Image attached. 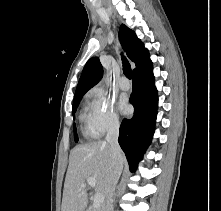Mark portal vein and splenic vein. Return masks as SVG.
Returning a JSON list of instances; mask_svg holds the SVG:
<instances>
[{
	"instance_id": "portal-vein-and-splenic-vein-1",
	"label": "portal vein and splenic vein",
	"mask_w": 221,
	"mask_h": 211,
	"mask_svg": "<svg viewBox=\"0 0 221 211\" xmlns=\"http://www.w3.org/2000/svg\"><path fill=\"white\" fill-rule=\"evenodd\" d=\"M87 183L91 186V187H95V185H96V180H95V178H93V177H89L88 179H87ZM84 184H81V188H84ZM104 199H105V197H104V195L102 194V193H97V194H95V196H94V201H93V206L94 207H100L102 204H103V202H104Z\"/></svg>"
}]
</instances>
